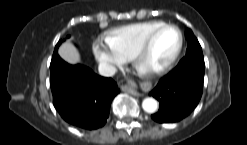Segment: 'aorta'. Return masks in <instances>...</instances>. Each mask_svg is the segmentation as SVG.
<instances>
[{
  "instance_id": "aorta-1",
  "label": "aorta",
  "mask_w": 247,
  "mask_h": 145,
  "mask_svg": "<svg viewBox=\"0 0 247 145\" xmlns=\"http://www.w3.org/2000/svg\"><path fill=\"white\" fill-rule=\"evenodd\" d=\"M142 108L147 113H154L158 109V102L151 97L145 98L142 102Z\"/></svg>"
}]
</instances>
